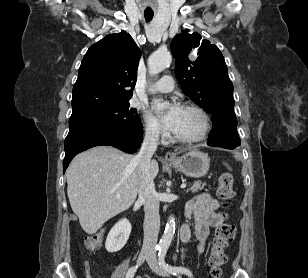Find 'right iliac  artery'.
I'll use <instances>...</instances> for the list:
<instances>
[{
	"label": "right iliac artery",
	"instance_id": "right-iliac-artery-1",
	"mask_svg": "<svg viewBox=\"0 0 308 278\" xmlns=\"http://www.w3.org/2000/svg\"><path fill=\"white\" fill-rule=\"evenodd\" d=\"M156 250H160V248L158 247V248H156ZM137 268H138L137 265L129 268V270L126 273V277L125 278H133Z\"/></svg>",
	"mask_w": 308,
	"mask_h": 278
}]
</instances>
